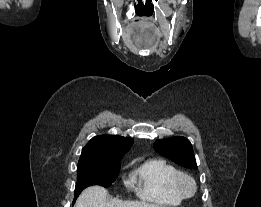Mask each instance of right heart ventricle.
<instances>
[{
  "label": "right heart ventricle",
  "instance_id": "right-heart-ventricle-1",
  "mask_svg": "<svg viewBox=\"0 0 261 207\" xmlns=\"http://www.w3.org/2000/svg\"><path fill=\"white\" fill-rule=\"evenodd\" d=\"M178 173L177 168L164 159L152 158L140 162L133 172L138 184V196L159 205H179L183 197L174 186Z\"/></svg>",
  "mask_w": 261,
  "mask_h": 207
}]
</instances>
